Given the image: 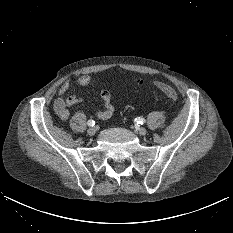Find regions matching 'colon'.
<instances>
[{
  "label": "colon",
  "instance_id": "obj_1",
  "mask_svg": "<svg viewBox=\"0 0 233 233\" xmlns=\"http://www.w3.org/2000/svg\"><path fill=\"white\" fill-rule=\"evenodd\" d=\"M156 86L170 99L176 100L178 98V94H177L176 90L174 88H172L171 86L164 84V83H161V82H157Z\"/></svg>",
  "mask_w": 233,
  "mask_h": 233
}]
</instances>
